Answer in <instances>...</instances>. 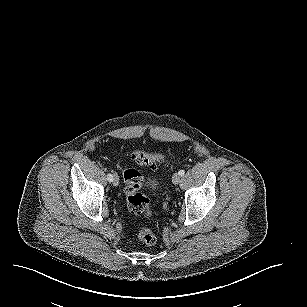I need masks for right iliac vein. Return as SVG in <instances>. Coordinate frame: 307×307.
<instances>
[{
  "instance_id": "obj_1",
  "label": "right iliac vein",
  "mask_w": 307,
  "mask_h": 307,
  "mask_svg": "<svg viewBox=\"0 0 307 307\" xmlns=\"http://www.w3.org/2000/svg\"><path fill=\"white\" fill-rule=\"evenodd\" d=\"M112 183H113L114 186H118L119 185V178H118V175L116 173L113 174Z\"/></svg>"
}]
</instances>
